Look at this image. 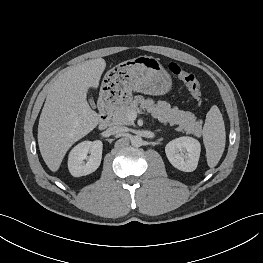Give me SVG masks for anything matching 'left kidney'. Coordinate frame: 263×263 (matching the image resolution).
Here are the masks:
<instances>
[{
  "mask_svg": "<svg viewBox=\"0 0 263 263\" xmlns=\"http://www.w3.org/2000/svg\"><path fill=\"white\" fill-rule=\"evenodd\" d=\"M200 152L199 141L187 136L176 138L165 146L169 162L184 172H192L197 168Z\"/></svg>",
  "mask_w": 263,
  "mask_h": 263,
  "instance_id": "1",
  "label": "left kidney"
}]
</instances>
